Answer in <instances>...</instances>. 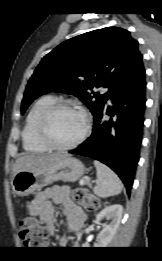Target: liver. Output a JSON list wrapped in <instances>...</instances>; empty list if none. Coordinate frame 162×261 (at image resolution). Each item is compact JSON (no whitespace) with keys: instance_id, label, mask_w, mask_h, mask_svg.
I'll use <instances>...</instances> for the list:
<instances>
[{"instance_id":"1","label":"liver","mask_w":162,"mask_h":261,"mask_svg":"<svg viewBox=\"0 0 162 261\" xmlns=\"http://www.w3.org/2000/svg\"><path fill=\"white\" fill-rule=\"evenodd\" d=\"M66 154H46L34 155L29 154L17 158L13 166V177L23 170H36L47 167L50 163L65 156Z\"/></svg>"}]
</instances>
